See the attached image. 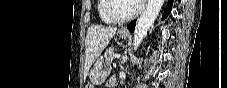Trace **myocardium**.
<instances>
[{"label":"myocardium","mask_w":227,"mask_h":88,"mask_svg":"<svg viewBox=\"0 0 227 88\" xmlns=\"http://www.w3.org/2000/svg\"><path fill=\"white\" fill-rule=\"evenodd\" d=\"M113 1L114 0H105L104 11H105L106 15L114 23H125V22H128L130 20H133L141 13V11L143 9V7L141 5L137 4L135 10L131 14H129L128 16H125V17H118V16L114 15V13L112 12Z\"/></svg>","instance_id":"1"}]
</instances>
